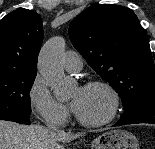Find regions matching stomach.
<instances>
[{
	"label": "stomach",
	"instance_id": "obj_1",
	"mask_svg": "<svg viewBox=\"0 0 155 149\" xmlns=\"http://www.w3.org/2000/svg\"><path fill=\"white\" fill-rule=\"evenodd\" d=\"M91 149H139L137 138L122 129H110L91 142Z\"/></svg>",
	"mask_w": 155,
	"mask_h": 149
}]
</instances>
